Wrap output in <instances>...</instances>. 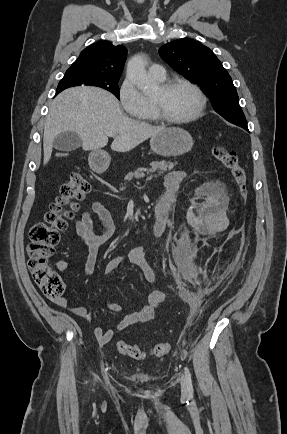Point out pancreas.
<instances>
[{
	"mask_svg": "<svg viewBox=\"0 0 287 434\" xmlns=\"http://www.w3.org/2000/svg\"><path fill=\"white\" fill-rule=\"evenodd\" d=\"M176 165V163H172V162H167L165 160L163 161H157V162H153L151 163V168L150 169H146V168H139L134 172H130L127 174V176L125 177V180L130 181L133 178L136 179H140L145 177V172L148 174L150 173H154L156 171H158L159 175L163 174L165 171L167 170H172L174 168V166ZM154 177H157L156 175ZM125 187L122 186L121 190H124Z\"/></svg>",
	"mask_w": 287,
	"mask_h": 434,
	"instance_id": "cf45deb5",
	"label": "pancreas"
}]
</instances>
